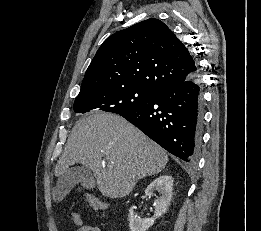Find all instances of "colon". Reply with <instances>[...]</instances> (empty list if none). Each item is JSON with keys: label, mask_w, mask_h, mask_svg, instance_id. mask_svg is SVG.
<instances>
[{"label": "colon", "mask_w": 261, "mask_h": 231, "mask_svg": "<svg viewBox=\"0 0 261 231\" xmlns=\"http://www.w3.org/2000/svg\"><path fill=\"white\" fill-rule=\"evenodd\" d=\"M86 201L90 205V207H92L93 209H96V210H106L107 209L106 203L99 201L93 197H87ZM72 214H76V213H72Z\"/></svg>", "instance_id": "1"}]
</instances>
